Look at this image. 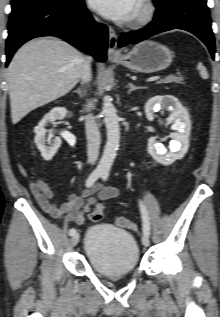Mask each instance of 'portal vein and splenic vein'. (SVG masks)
<instances>
[{
  "mask_svg": "<svg viewBox=\"0 0 220 317\" xmlns=\"http://www.w3.org/2000/svg\"><path fill=\"white\" fill-rule=\"evenodd\" d=\"M160 78H161V77H159V76L150 77V78L147 79V82L157 81V80H159Z\"/></svg>",
  "mask_w": 220,
  "mask_h": 317,
  "instance_id": "obj_1",
  "label": "portal vein and splenic vein"
}]
</instances>
